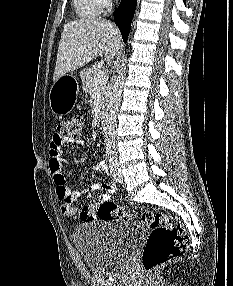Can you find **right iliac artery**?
Listing matches in <instances>:
<instances>
[{"instance_id":"obj_1","label":"right iliac artery","mask_w":233,"mask_h":286,"mask_svg":"<svg viewBox=\"0 0 233 286\" xmlns=\"http://www.w3.org/2000/svg\"><path fill=\"white\" fill-rule=\"evenodd\" d=\"M111 154H112V148L111 146H107L106 147V157H107V160L111 161Z\"/></svg>"}]
</instances>
